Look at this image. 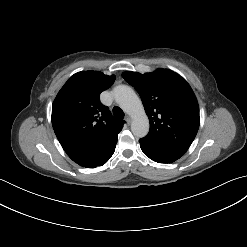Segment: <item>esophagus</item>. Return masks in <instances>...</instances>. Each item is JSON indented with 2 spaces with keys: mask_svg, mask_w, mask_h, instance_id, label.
Instances as JSON below:
<instances>
[{
  "mask_svg": "<svg viewBox=\"0 0 247 247\" xmlns=\"http://www.w3.org/2000/svg\"><path fill=\"white\" fill-rule=\"evenodd\" d=\"M125 120L130 124L131 123V121H132V119H131V117L130 116H126V118H125Z\"/></svg>",
  "mask_w": 247,
  "mask_h": 247,
  "instance_id": "34e87169",
  "label": "esophagus"
}]
</instances>
